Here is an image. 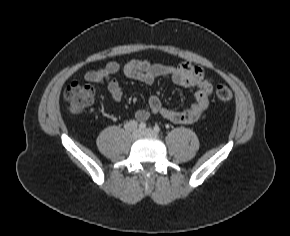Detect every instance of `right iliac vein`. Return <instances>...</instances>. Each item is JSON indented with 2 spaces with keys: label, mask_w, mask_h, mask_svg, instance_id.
Here are the masks:
<instances>
[{
  "label": "right iliac vein",
  "mask_w": 290,
  "mask_h": 236,
  "mask_svg": "<svg viewBox=\"0 0 290 236\" xmlns=\"http://www.w3.org/2000/svg\"><path fill=\"white\" fill-rule=\"evenodd\" d=\"M143 135L142 131L139 129H134V131L132 132V137L134 139H138Z\"/></svg>",
  "instance_id": "right-iliac-vein-1"
}]
</instances>
